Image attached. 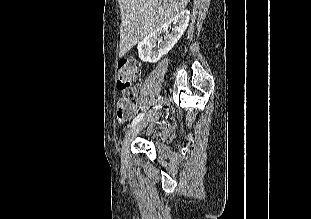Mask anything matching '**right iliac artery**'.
<instances>
[{"label":"right iliac artery","mask_w":311,"mask_h":219,"mask_svg":"<svg viewBox=\"0 0 311 219\" xmlns=\"http://www.w3.org/2000/svg\"><path fill=\"white\" fill-rule=\"evenodd\" d=\"M144 116V113L139 114L133 121L132 124L130 125V127L135 126L138 122H140V120H142Z\"/></svg>","instance_id":"82829eb1"}]
</instances>
